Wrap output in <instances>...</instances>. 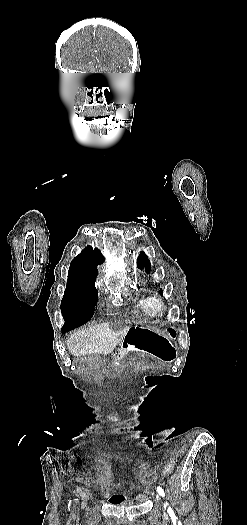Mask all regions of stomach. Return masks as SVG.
I'll return each mask as SVG.
<instances>
[{"mask_svg":"<svg viewBox=\"0 0 247 525\" xmlns=\"http://www.w3.org/2000/svg\"><path fill=\"white\" fill-rule=\"evenodd\" d=\"M174 330L159 333L150 327L133 326L125 336V341L132 349L145 353L163 364H170L176 359Z\"/></svg>","mask_w":247,"mask_h":525,"instance_id":"1","label":"stomach"}]
</instances>
